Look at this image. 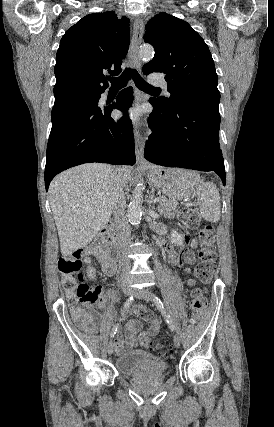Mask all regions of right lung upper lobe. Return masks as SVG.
<instances>
[{"label": "right lung upper lobe", "instance_id": "cb5924a9", "mask_svg": "<svg viewBox=\"0 0 274 427\" xmlns=\"http://www.w3.org/2000/svg\"><path fill=\"white\" fill-rule=\"evenodd\" d=\"M130 44L129 19L114 11L89 14L62 37L56 55L55 105L81 95L101 94L106 78L119 74Z\"/></svg>", "mask_w": 274, "mask_h": 427}]
</instances>
